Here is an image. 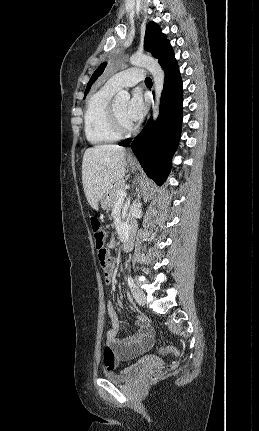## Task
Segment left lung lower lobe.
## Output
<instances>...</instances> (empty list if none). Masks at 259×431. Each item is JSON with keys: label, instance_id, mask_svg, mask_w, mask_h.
Masks as SVG:
<instances>
[{"label": "left lung lower lobe", "instance_id": "obj_1", "mask_svg": "<svg viewBox=\"0 0 259 431\" xmlns=\"http://www.w3.org/2000/svg\"><path fill=\"white\" fill-rule=\"evenodd\" d=\"M159 63L165 72L160 114L155 123L150 118L131 147L148 176L162 185L169 174L171 159L180 139L183 92L179 68L170 45L159 58ZM130 142L131 139H127L120 145Z\"/></svg>", "mask_w": 259, "mask_h": 431}]
</instances>
